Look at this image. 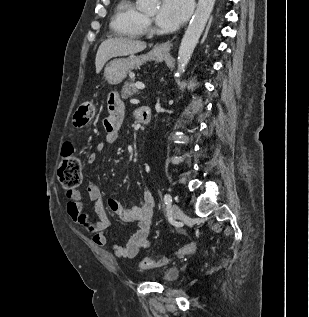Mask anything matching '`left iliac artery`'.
Segmentation results:
<instances>
[{
	"label": "left iliac artery",
	"instance_id": "44dca946",
	"mask_svg": "<svg viewBox=\"0 0 309 317\" xmlns=\"http://www.w3.org/2000/svg\"><path fill=\"white\" fill-rule=\"evenodd\" d=\"M163 201L165 204H170L172 202V197L170 194H165L164 195V198H163Z\"/></svg>",
	"mask_w": 309,
	"mask_h": 317
}]
</instances>
